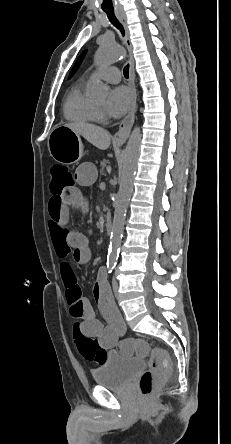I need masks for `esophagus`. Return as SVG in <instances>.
<instances>
[{
	"label": "esophagus",
	"instance_id": "1",
	"mask_svg": "<svg viewBox=\"0 0 231 444\" xmlns=\"http://www.w3.org/2000/svg\"><path fill=\"white\" fill-rule=\"evenodd\" d=\"M116 16L125 30V44L129 53V86L133 94V103L129 114L121 121L119 130L114 135L113 140L117 143H124L129 137L135 119L137 93L134 83V62L132 58V44L130 41L126 15L123 11H116Z\"/></svg>",
	"mask_w": 231,
	"mask_h": 444
}]
</instances>
